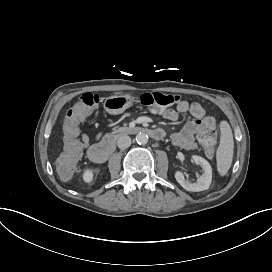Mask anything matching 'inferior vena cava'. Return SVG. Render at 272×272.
I'll return each instance as SVG.
<instances>
[{"instance_id":"602c4592","label":"inferior vena cava","mask_w":272,"mask_h":272,"mask_svg":"<svg viewBox=\"0 0 272 272\" xmlns=\"http://www.w3.org/2000/svg\"><path fill=\"white\" fill-rule=\"evenodd\" d=\"M118 147L121 149L128 148L131 145V138L128 135H122L117 141Z\"/></svg>"}]
</instances>
